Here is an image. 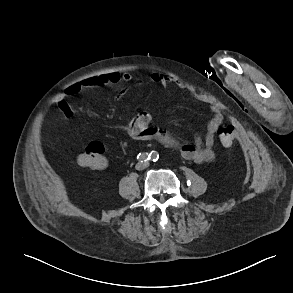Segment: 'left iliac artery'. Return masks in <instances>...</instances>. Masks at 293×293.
<instances>
[{
	"mask_svg": "<svg viewBox=\"0 0 293 293\" xmlns=\"http://www.w3.org/2000/svg\"><path fill=\"white\" fill-rule=\"evenodd\" d=\"M150 159L152 161H154V162L157 161L159 159L158 152L157 151H151V153H150Z\"/></svg>",
	"mask_w": 293,
	"mask_h": 293,
	"instance_id": "1",
	"label": "left iliac artery"
}]
</instances>
